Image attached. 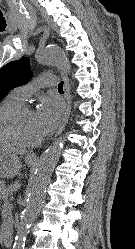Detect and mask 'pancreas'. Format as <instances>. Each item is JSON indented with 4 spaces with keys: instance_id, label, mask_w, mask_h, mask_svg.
<instances>
[{
    "instance_id": "1",
    "label": "pancreas",
    "mask_w": 135,
    "mask_h": 249,
    "mask_svg": "<svg viewBox=\"0 0 135 249\" xmlns=\"http://www.w3.org/2000/svg\"><path fill=\"white\" fill-rule=\"evenodd\" d=\"M15 190H16V185H11L8 188H1L0 193L3 196H8V195L12 194V192H14Z\"/></svg>"
}]
</instances>
